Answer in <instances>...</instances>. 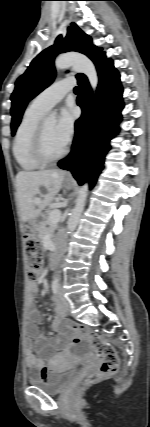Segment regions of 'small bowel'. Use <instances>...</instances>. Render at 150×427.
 <instances>
[{
    "mask_svg": "<svg viewBox=\"0 0 150 427\" xmlns=\"http://www.w3.org/2000/svg\"><path fill=\"white\" fill-rule=\"evenodd\" d=\"M28 293L30 296L29 305L26 317V334L27 345L25 350L26 364L31 369L33 374L38 375L40 378H47L49 374L58 367V364L64 358V355H56L57 351L65 352L70 347L69 342V321L63 320L66 314L65 308L54 299L55 303V316L52 319L51 326L54 330L59 331L58 337H47L39 330V323L42 316L34 305L33 296L38 293V286L35 282H29ZM34 349L42 352L47 358L49 363L38 357L34 353Z\"/></svg>",
    "mask_w": 150,
    "mask_h": 427,
    "instance_id": "small-bowel-1",
    "label": "small bowel"
}]
</instances>
